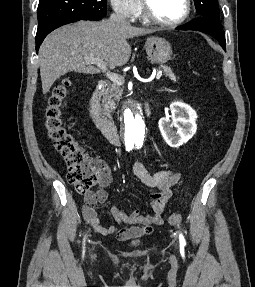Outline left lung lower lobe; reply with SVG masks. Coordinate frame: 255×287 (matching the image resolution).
I'll return each instance as SVG.
<instances>
[{
    "instance_id": "1",
    "label": "left lung lower lobe",
    "mask_w": 255,
    "mask_h": 287,
    "mask_svg": "<svg viewBox=\"0 0 255 287\" xmlns=\"http://www.w3.org/2000/svg\"><path fill=\"white\" fill-rule=\"evenodd\" d=\"M176 29L177 30L201 31L206 34H209L213 36L215 39H217L220 45L225 50V46H226L225 32L219 20H216L212 17L201 16L190 21L189 23L185 25L177 27Z\"/></svg>"
}]
</instances>
